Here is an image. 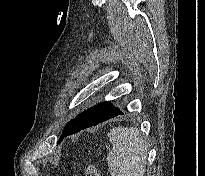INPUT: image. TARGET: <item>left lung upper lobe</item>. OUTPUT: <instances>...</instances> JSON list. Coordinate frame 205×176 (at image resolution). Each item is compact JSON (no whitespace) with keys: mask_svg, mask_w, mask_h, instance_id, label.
I'll use <instances>...</instances> for the list:
<instances>
[{"mask_svg":"<svg viewBox=\"0 0 205 176\" xmlns=\"http://www.w3.org/2000/svg\"><path fill=\"white\" fill-rule=\"evenodd\" d=\"M72 121V120H71ZM71 121H69L67 124H66V126H65V128H64V131H63V134H64V132L66 131V129L68 128V126H69V124L71 123ZM63 136V135H62ZM62 136H61V138L58 140V143L62 140Z\"/></svg>","mask_w":205,"mask_h":176,"instance_id":"left-lung-upper-lobe-1","label":"left lung upper lobe"}]
</instances>
